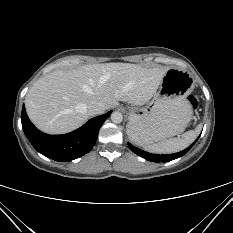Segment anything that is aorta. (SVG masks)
Wrapping results in <instances>:
<instances>
[{
	"label": "aorta",
	"instance_id": "aorta-1",
	"mask_svg": "<svg viewBox=\"0 0 233 233\" xmlns=\"http://www.w3.org/2000/svg\"><path fill=\"white\" fill-rule=\"evenodd\" d=\"M111 120L112 122L114 123H121L122 120H123V115L121 112H118V111H114L112 114H111Z\"/></svg>",
	"mask_w": 233,
	"mask_h": 233
}]
</instances>
